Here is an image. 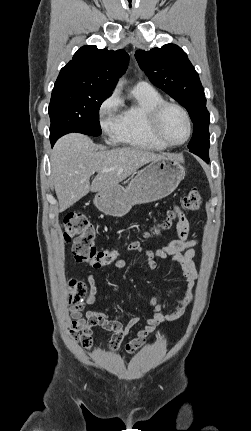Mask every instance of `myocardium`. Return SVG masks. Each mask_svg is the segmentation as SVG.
Returning <instances> with one entry per match:
<instances>
[{
  "instance_id": "1",
  "label": "myocardium",
  "mask_w": 251,
  "mask_h": 431,
  "mask_svg": "<svg viewBox=\"0 0 251 431\" xmlns=\"http://www.w3.org/2000/svg\"><path fill=\"white\" fill-rule=\"evenodd\" d=\"M168 107H174L178 109L183 114L186 121L187 134L182 141L177 143L168 141L163 136L160 129V120H161L162 114L165 111V109H167ZM149 128L152 135L155 137V139L158 140L161 144L165 145L166 147H178L185 144L191 137V133H192L191 118L186 108L177 102L168 101V100L160 101L151 109L149 113Z\"/></svg>"
}]
</instances>
